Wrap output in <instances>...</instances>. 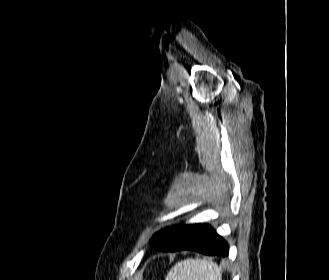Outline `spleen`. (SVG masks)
Segmentation results:
<instances>
[{"label":"spleen","mask_w":329,"mask_h":280,"mask_svg":"<svg viewBox=\"0 0 329 280\" xmlns=\"http://www.w3.org/2000/svg\"><path fill=\"white\" fill-rule=\"evenodd\" d=\"M165 280H222V275L216 263L205 258H190L172 267Z\"/></svg>","instance_id":"1"}]
</instances>
